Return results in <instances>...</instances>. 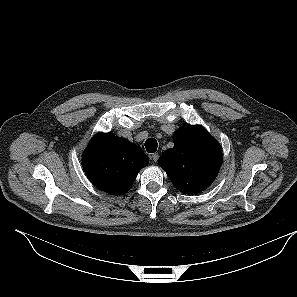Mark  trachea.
<instances>
[{
	"mask_svg": "<svg viewBox=\"0 0 297 297\" xmlns=\"http://www.w3.org/2000/svg\"><path fill=\"white\" fill-rule=\"evenodd\" d=\"M158 147V143L154 138H149L145 142V148L148 153H154L156 152Z\"/></svg>",
	"mask_w": 297,
	"mask_h": 297,
	"instance_id": "trachea-1",
	"label": "trachea"
}]
</instances>
